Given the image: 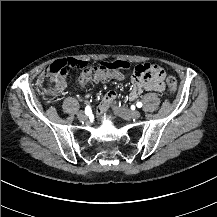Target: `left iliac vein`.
Wrapping results in <instances>:
<instances>
[{"label": "left iliac vein", "instance_id": "left-iliac-vein-1", "mask_svg": "<svg viewBox=\"0 0 217 217\" xmlns=\"http://www.w3.org/2000/svg\"><path fill=\"white\" fill-rule=\"evenodd\" d=\"M113 109L115 112H119L125 120L138 119L141 116V113L139 111L129 110L126 107L118 108L116 106H113Z\"/></svg>", "mask_w": 217, "mask_h": 217}]
</instances>
